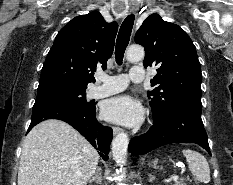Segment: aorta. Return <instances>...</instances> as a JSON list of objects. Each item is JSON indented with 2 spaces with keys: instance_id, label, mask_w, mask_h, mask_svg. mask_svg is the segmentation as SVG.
I'll list each match as a JSON object with an SVG mask.
<instances>
[{
  "instance_id": "762f6f07",
  "label": "aorta",
  "mask_w": 233,
  "mask_h": 185,
  "mask_svg": "<svg viewBox=\"0 0 233 185\" xmlns=\"http://www.w3.org/2000/svg\"><path fill=\"white\" fill-rule=\"evenodd\" d=\"M144 48L139 45H132L126 51V59L129 62H138L144 58ZM129 138L124 132L119 133L112 141L113 159L119 166H123L127 161Z\"/></svg>"
}]
</instances>
